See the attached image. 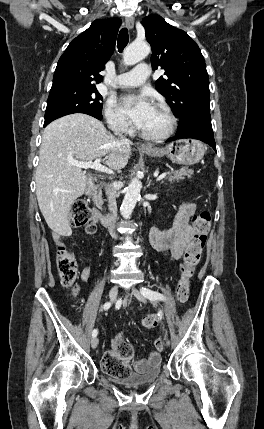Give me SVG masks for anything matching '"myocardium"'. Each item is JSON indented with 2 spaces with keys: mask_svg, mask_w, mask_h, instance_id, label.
<instances>
[{
  "mask_svg": "<svg viewBox=\"0 0 264 429\" xmlns=\"http://www.w3.org/2000/svg\"><path fill=\"white\" fill-rule=\"evenodd\" d=\"M154 107L156 109L162 111V113L167 117V119H168V126H167L166 130L164 132L160 133V134H157V135L146 134L143 131H141L140 129L138 130V132H139V135L143 139L148 140V141L156 142V141L165 140L168 137H170L173 134L174 130H175L177 121H176V117L174 116V114L172 113L171 109L167 105H165L163 103H157V104L154 105Z\"/></svg>",
  "mask_w": 264,
  "mask_h": 429,
  "instance_id": "myocardium-1",
  "label": "myocardium"
}]
</instances>
